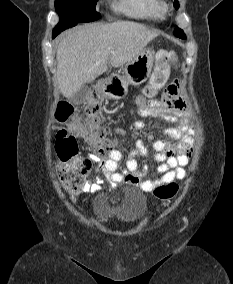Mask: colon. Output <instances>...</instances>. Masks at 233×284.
I'll return each mask as SVG.
<instances>
[{
	"mask_svg": "<svg viewBox=\"0 0 233 284\" xmlns=\"http://www.w3.org/2000/svg\"><path fill=\"white\" fill-rule=\"evenodd\" d=\"M177 65V56L170 50H159L156 53L155 69L148 84L144 87L138 101H148L154 98L165 86L169 78L170 69ZM101 109L99 100L91 101L86 107L88 132L86 142L94 152L109 155L113 150V142L107 138L106 129L101 124L98 115ZM73 114V106L65 101L57 105L56 118L64 122ZM55 151L59 161L57 174L62 186L69 192L80 190L86 183V178L91 170L92 162L78 154L76 138L65 129H61L55 136ZM179 191L178 184L171 182L157 186L154 195L162 200L176 196Z\"/></svg>",
	"mask_w": 233,
	"mask_h": 284,
	"instance_id": "obj_1",
	"label": "colon"
}]
</instances>
